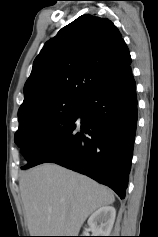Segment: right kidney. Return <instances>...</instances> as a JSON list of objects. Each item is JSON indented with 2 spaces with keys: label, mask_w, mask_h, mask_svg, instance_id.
Masks as SVG:
<instances>
[{
  "label": "right kidney",
  "mask_w": 158,
  "mask_h": 237,
  "mask_svg": "<svg viewBox=\"0 0 158 237\" xmlns=\"http://www.w3.org/2000/svg\"><path fill=\"white\" fill-rule=\"evenodd\" d=\"M116 216L113 206H103L96 210L88 219V226L93 236H109Z\"/></svg>",
  "instance_id": "right-kidney-1"
}]
</instances>
